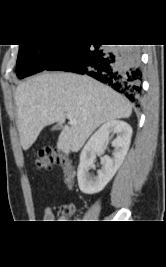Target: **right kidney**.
<instances>
[{
	"label": "right kidney",
	"mask_w": 166,
	"mask_h": 267,
	"mask_svg": "<svg viewBox=\"0 0 166 267\" xmlns=\"http://www.w3.org/2000/svg\"><path fill=\"white\" fill-rule=\"evenodd\" d=\"M116 134L113 140V157L101 158L102 169L97 171V176H91L89 169L95 161L96 154L106 148L110 134ZM132 136L129 124L120 120H111L103 124L89 139L80 154V164L77 169V179L80 190L85 194L100 192L113 178L128 152Z\"/></svg>",
	"instance_id": "ca27d5eb"
}]
</instances>
